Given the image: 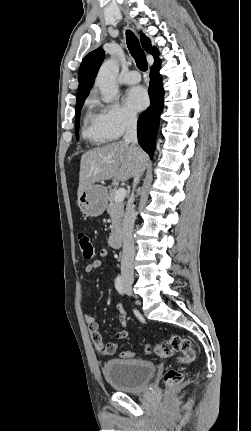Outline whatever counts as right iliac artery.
<instances>
[{"label":"right iliac artery","instance_id":"82829eb1","mask_svg":"<svg viewBox=\"0 0 251 431\" xmlns=\"http://www.w3.org/2000/svg\"><path fill=\"white\" fill-rule=\"evenodd\" d=\"M115 288L117 289V291L120 294H124V286H123V282H122V278L120 275L117 276L116 280H115Z\"/></svg>","mask_w":251,"mask_h":431}]
</instances>
